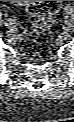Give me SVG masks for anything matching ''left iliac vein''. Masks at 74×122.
<instances>
[{"mask_svg":"<svg viewBox=\"0 0 74 122\" xmlns=\"http://www.w3.org/2000/svg\"><path fill=\"white\" fill-rule=\"evenodd\" d=\"M72 27H73V25H72L71 23H66L65 26H64V29H65L66 31H69V30L72 29Z\"/></svg>","mask_w":74,"mask_h":122,"instance_id":"left-iliac-vein-1","label":"left iliac vein"}]
</instances>
